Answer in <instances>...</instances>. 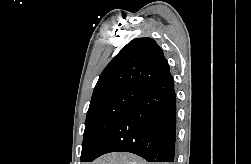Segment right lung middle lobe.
Masks as SVG:
<instances>
[{
	"label": "right lung middle lobe",
	"instance_id": "1",
	"mask_svg": "<svg viewBox=\"0 0 251 164\" xmlns=\"http://www.w3.org/2000/svg\"><path fill=\"white\" fill-rule=\"evenodd\" d=\"M140 89L122 87L91 99L85 121L81 161L91 154L97 142L117 118L138 98Z\"/></svg>",
	"mask_w": 251,
	"mask_h": 164
}]
</instances>
